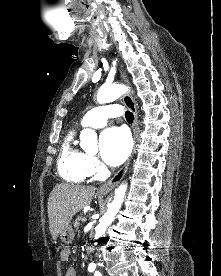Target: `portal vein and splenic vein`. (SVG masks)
Instances as JSON below:
<instances>
[{"instance_id":"portal-vein-and-splenic-vein-1","label":"portal vein and splenic vein","mask_w":221,"mask_h":276,"mask_svg":"<svg viewBox=\"0 0 221 276\" xmlns=\"http://www.w3.org/2000/svg\"><path fill=\"white\" fill-rule=\"evenodd\" d=\"M81 220H82V222H86V218L85 217H83Z\"/></svg>"}]
</instances>
